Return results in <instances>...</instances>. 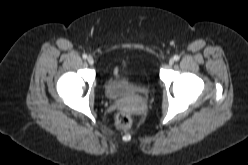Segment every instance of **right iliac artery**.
<instances>
[{"instance_id": "obj_1", "label": "right iliac artery", "mask_w": 248, "mask_h": 165, "mask_svg": "<svg viewBox=\"0 0 248 165\" xmlns=\"http://www.w3.org/2000/svg\"><path fill=\"white\" fill-rule=\"evenodd\" d=\"M82 57H83V59H86L87 58V55L86 54H83Z\"/></svg>"}]
</instances>
